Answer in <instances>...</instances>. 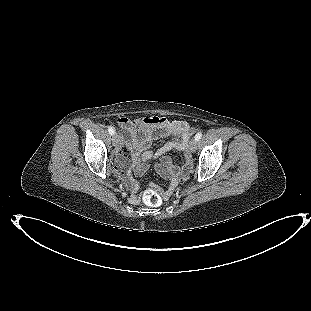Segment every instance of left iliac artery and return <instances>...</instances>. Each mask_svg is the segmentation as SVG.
<instances>
[{"label": "left iliac artery", "mask_w": 311, "mask_h": 311, "mask_svg": "<svg viewBox=\"0 0 311 311\" xmlns=\"http://www.w3.org/2000/svg\"><path fill=\"white\" fill-rule=\"evenodd\" d=\"M202 137V132H198L196 135H195V140L196 141H199Z\"/></svg>", "instance_id": "1"}]
</instances>
